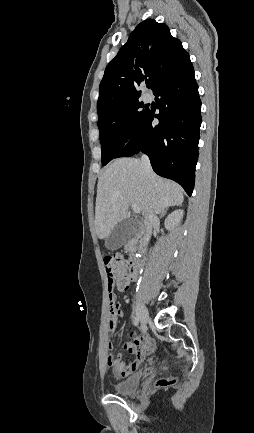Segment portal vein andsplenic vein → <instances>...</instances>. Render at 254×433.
<instances>
[{
	"instance_id": "portal-vein-and-splenic-vein-1",
	"label": "portal vein and splenic vein",
	"mask_w": 254,
	"mask_h": 433,
	"mask_svg": "<svg viewBox=\"0 0 254 433\" xmlns=\"http://www.w3.org/2000/svg\"><path fill=\"white\" fill-rule=\"evenodd\" d=\"M132 209L135 213H140L141 209L138 205L132 204Z\"/></svg>"
}]
</instances>
